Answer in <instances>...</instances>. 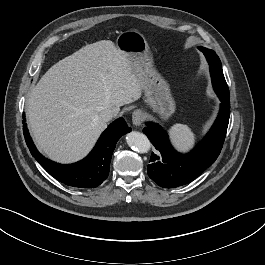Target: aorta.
<instances>
[{
    "instance_id": "aorta-1",
    "label": "aorta",
    "mask_w": 265,
    "mask_h": 265,
    "mask_svg": "<svg viewBox=\"0 0 265 265\" xmlns=\"http://www.w3.org/2000/svg\"><path fill=\"white\" fill-rule=\"evenodd\" d=\"M128 146L139 153H147L151 148V143L143 133L132 131L126 135Z\"/></svg>"
}]
</instances>
